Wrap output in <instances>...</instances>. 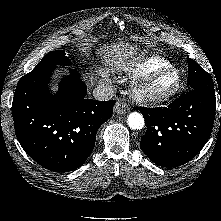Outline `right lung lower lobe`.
Wrapping results in <instances>:
<instances>
[{
  "label": "right lung lower lobe",
  "mask_w": 221,
  "mask_h": 221,
  "mask_svg": "<svg viewBox=\"0 0 221 221\" xmlns=\"http://www.w3.org/2000/svg\"><path fill=\"white\" fill-rule=\"evenodd\" d=\"M53 69L32 71L19 80L12 104L15 133L41 166L71 171L90 156L97 131L112 116L115 101L88 99L87 87L75 70L61 81L56 94H50Z\"/></svg>",
  "instance_id": "1"
}]
</instances>
